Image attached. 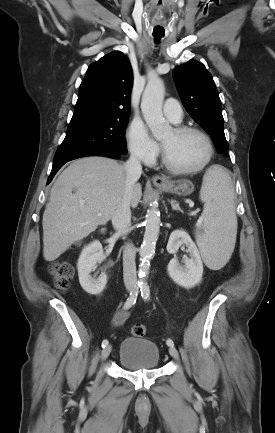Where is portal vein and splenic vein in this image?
I'll return each instance as SVG.
<instances>
[{"mask_svg":"<svg viewBox=\"0 0 275 433\" xmlns=\"http://www.w3.org/2000/svg\"><path fill=\"white\" fill-rule=\"evenodd\" d=\"M101 214H99V216H100ZM202 223V218H200L199 220H198V225H200Z\"/></svg>","mask_w":275,"mask_h":433,"instance_id":"obj_1","label":"portal vein and splenic vein"}]
</instances>
